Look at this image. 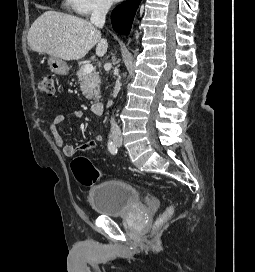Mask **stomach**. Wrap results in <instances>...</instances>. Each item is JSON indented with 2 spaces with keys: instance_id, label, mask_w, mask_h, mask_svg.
Segmentation results:
<instances>
[{
  "instance_id": "stomach-1",
  "label": "stomach",
  "mask_w": 255,
  "mask_h": 272,
  "mask_svg": "<svg viewBox=\"0 0 255 272\" xmlns=\"http://www.w3.org/2000/svg\"><path fill=\"white\" fill-rule=\"evenodd\" d=\"M48 65L51 72L58 75H67L69 71L67 63L60 58L50 56L48 59Z\"/></svg>"
}]
</instances>
